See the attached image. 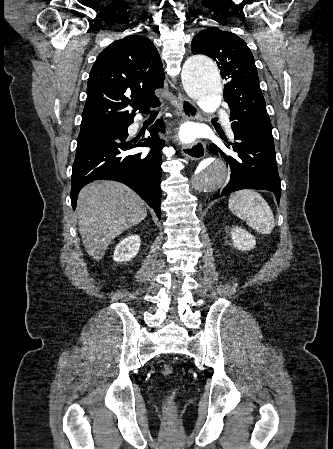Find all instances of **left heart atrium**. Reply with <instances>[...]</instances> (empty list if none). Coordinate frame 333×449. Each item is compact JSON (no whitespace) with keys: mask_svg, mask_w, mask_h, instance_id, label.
I'll use <instances>...</instances> for the list:
<instances>
[{"mask_svg":"<svg viewBox=\"0 0 333 449\" xmlns=\"http://www.w3.org/2000/svg\"><path fill=\"white\" fill-rule=\"evenodd\" d=\"M181 139H182L183 141H189V140L191 139V134H190V132H189L188 130H183V131L181 132Z\"/></svg>","mask_w":333,"mask_h":449,"instance_id":"left-heart-atrium-1","label":"left heart atrium"}]
</instances>
